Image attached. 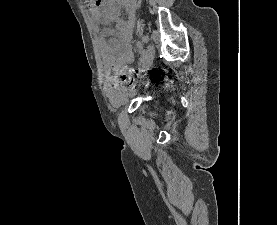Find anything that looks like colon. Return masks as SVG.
Here are the masks:
<instances>
[{
	"label": "colon",
	"instance_id": "1",
	"mask_svg": "<svg viewBox=\"0 0 277 225\" xmlns=\"http://www.w3.org/2000/svg\"><path fill=\"white\" fill-rule=\"evenodd\" d=\"M116 79L121 84V86L130 88L133 87L137 82L138 74L134 71L128 70L125 66H123L117 71Z\"/></svg>",
	"mask_w": 277,
	"mask_h": 225
}]
</instances>
